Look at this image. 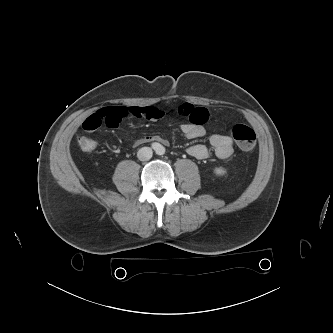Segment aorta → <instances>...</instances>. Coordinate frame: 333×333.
Masks as SVG:
<instances>
[{
    "mask_svg": "<svg viewBox=\"0 0 333 333\" xmlns=\"http://www.w3.org/2000/svg\"><path fill=\"white\" fill-rule=\"evenodd\" d=\"M165 153V148L162 145H159L157 148V154L162 155Z\"/></svg>",
    "mask_w": 333,
    "mask_h": 333,
    "instance_id": "762f6f07",
    "label": "aorta"
}]
</instances>
